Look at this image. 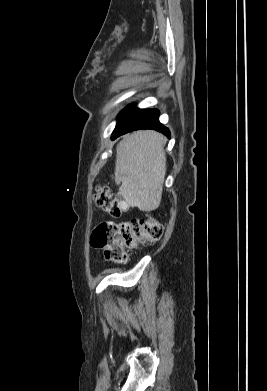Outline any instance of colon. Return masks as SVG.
I'll list each match as a JSON object with an SVG mask.
<instances>
[{
    "instance_id": "obj_1",
    "label": "colon",
    "mask_w": 267,
    "mask_h": 391,
    "mask_svg": "<svg viewBox=\"0 0 267 391\" xmlns=\"http://www.w3.org/2000/svg\"><path fill=\"white\" fill-rule=\"evenodd\" d=\"M94 203L112 218L122 214L121 201L108 187L100 186L96 189ZM162 236V224L156 216L148 213L128 222L107 221L99 224L92 232L91 245L104 249L107 260L125 263L129 250L141 244L157 242Z\"/></svg>"
}]
</instances>
